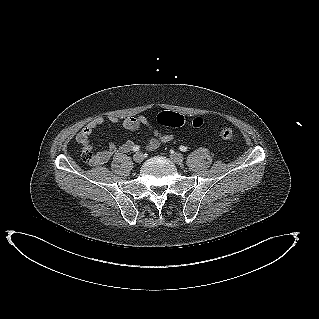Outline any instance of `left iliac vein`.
<instances>
[{
  "instance_id": "left-iliac-vein-1",
  "label": "left iliac vein",
  "mask_w": 319,
  "mask_h": 319,
  "mask_svg": "<svg viewBox=\"0 0 319 319\" xmlns=\"http://www.w3.org/2000/svg\"><path fill=\"white\" fill-rule=\"evenodd\" d=\"M171 160L176 164H181L184 160V157L181 153H173L170 155Z\"/></svg>"
}]
</instances>
